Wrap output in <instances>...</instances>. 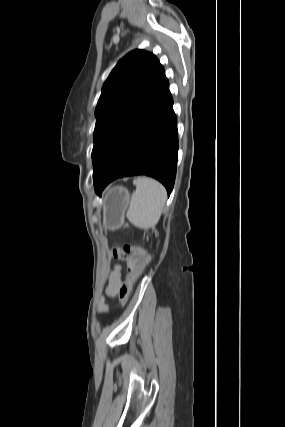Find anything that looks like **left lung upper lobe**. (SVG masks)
Here are the masks:
<instances>
[{"instance_id": "obj_1", "label": "left lung upper lobe", "mask_w": 285, "mask_h": 427, "mask_svg": "<svg viewBox=\"0 0 285 427\" xmlns=\"http://www.w3.org/2000/svg\"><path fill=\"white\" fill-rule=\"evenodd\" d=\"M165 79L164 68L152 53L134 50L117 63L103 85L95 111L93 163L114 146Z\"/></svg>"}]
</instances>
